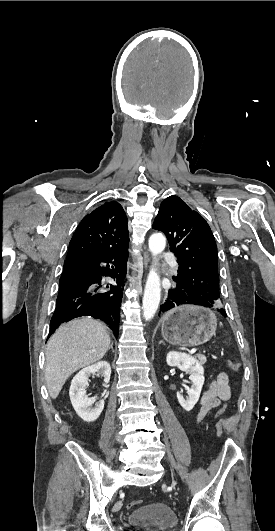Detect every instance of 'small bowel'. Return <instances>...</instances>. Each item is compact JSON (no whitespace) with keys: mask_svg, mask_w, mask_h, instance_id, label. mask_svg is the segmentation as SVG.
Returning <instances> with one entry per match:
<instances>
[{"mask_svg":"<svg viewBox=\"0 0 275 531\" xmlns=\"http://www.w3.org/2000/svg\"><path fill=\"white\" fill-rule=\"evenodd\" d=\"M231 384L225 372H219L208 384L199 401L196 422L200 423L208 413L231 398Z\"/></svg>","mask_w":275,"mask_h":531,"instance_id":"obj_1","label":"small bowel"}]
</instances>
